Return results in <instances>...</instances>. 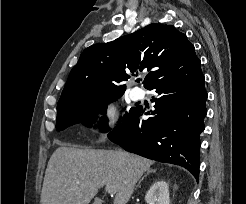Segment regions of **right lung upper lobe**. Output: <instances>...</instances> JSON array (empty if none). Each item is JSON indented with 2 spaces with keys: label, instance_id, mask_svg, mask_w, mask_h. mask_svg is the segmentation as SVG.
<instances>
[{
  "label": "right lung upper lobe",
  "instance_id": "right-lung-upper-lobe-1",
  "mask_svg": "<svg viewBox=\"0 0 246 204\" xmlns=\"http://www.w3.org/2000/svg\"><path fill=\"white\" fill-rule=\"evenodd\" d=\"M194 46L174 26L150 24L109 43L86 48L71 70L59 101L92 94H118L124 81L139 71H150L148 88L163 76L197 60Z\"/></svg>",
  "mask_w": 246,
  "mask_h": 204
}]
</instances>
